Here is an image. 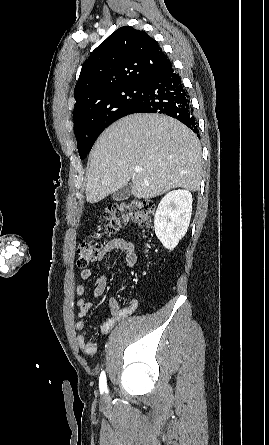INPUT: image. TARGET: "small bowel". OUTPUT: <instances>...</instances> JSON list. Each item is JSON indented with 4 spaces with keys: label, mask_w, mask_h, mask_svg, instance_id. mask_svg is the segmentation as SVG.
<instances>
[{
    "label": "small bowel",
    "mask_w": 269,
    "mask_h": 445,
    "mask_svg": "<svg viewBox=\"0 0 269 445\" xmlns=\"http://www.w3.org/2000/svg\"><path fill=\"white\" fill-rule=\"evenodd\" d=\"M119 250L122 252L124 256V260L126 266L131 269L137 262V254L135 251V247L132 242L128 241L124 238H115L102 247L98 259L102 260L106 257V255L113 251ZM92 276V270L87 268L81 271L80 277L83 280H88ZM107 280L104 276L99 277L95 281L94 289H93V297H100L105 289H106ZM75 292L77 296L80 298L76 302L77 315L80 318L85 317L90 309L93 306V302L86 298L87 288L83 284H78L75 288ZM109 307L111 310V315L106 318L100 325L99 331L102 335L108 334L111 329L121 320L130 316L137 309V302L135 300H131L126 306L120 307L118 301L115 298L109 299ZM75 329L79 332H82L85 329V323L83 321H78L75 325ZM77 343L79 348L85 352L86 354L92 355L97 351L96 344L88 340L84 333H79L77 336Z\"/></svg>",
    "instance_id": "obj_1"
}]
</instances>
